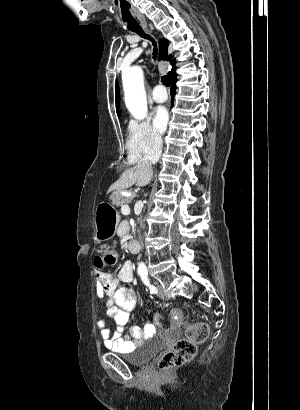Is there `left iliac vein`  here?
<instances>
[{
    "instance_id": "4c4485c4",
    "label": "left iliac vein",
    "mask_w": 300,
    "mask_h": 410,
    "mask_svg": "<svg viewBox=\"0 0 300 410\" xmlns=\"http://www.w3.org/2000/svg\"><path fill=\"white\" fill-rule=\"evenodd\" d=\"M157 288H158V291H159L158 296L163 300H167L168 296L165 294L163 287L160 284H158Z\"/></svg>"
}]
</instances>
